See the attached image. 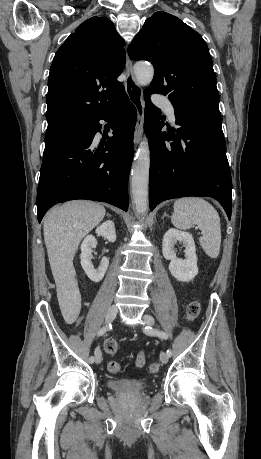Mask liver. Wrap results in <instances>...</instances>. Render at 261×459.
<instances>
[{
	"instance_id": "1",
	"label": "liver",
	"mask_w": 261,
	"mask_h": 459,
	"mask_svg": "<svg viewBox=\"0 0 261 459\" xmlns=\"http://www.w3.org/2000/svg\"><path fill=\"white\" fill-rule=\"evenodd\" d=\"M105 213L98 203L75 200L54 208L44 219V241L58 301L64 311L73 310L75 315L79 292L73 258L82 239L103 220Z\"/></svg>"
}]
</instances>
